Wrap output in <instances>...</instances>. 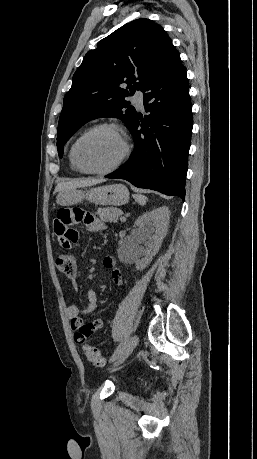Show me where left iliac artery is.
Wrapping results in <instances>:
<instances>
[{
	"label": "left iliac artery",
	"instance_id": "obj_1",
	"mask_svg": "<svg viewBox=\"0 0 257 459\" xmlns=\"http://www.w3.org/2000/svg\"><path fill=\"white\" fill-rule=\"evenodd\" d=\"M126 342H127V340H124L119 344V346L116 348V350L114 351V353L110 357V360H109L110 362L115 361L120 356V354L123 352V350L125 348Z\"/></svg>",
	"mask_w": 257,
	"mask_h": 459
}]
</instances>
